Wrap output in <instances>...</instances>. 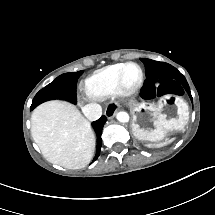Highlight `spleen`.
Wrapping results in <instances>:
<instances>
[{
    "mask_svg": "<svg viewBox=\"0 0 215 215\" xmlns=\"http://www.w3.org/2000/svg\"><path fill=\"white\" fill-rule=\"evenodd\" d=\"M172 141H173V139H170V140H169V142H172ZM164 145H165V143H160V144H157L156 146H157V147H162V146H164ZM147 146H148V147H152L153 145H152V144H148Z\"/></svg>",
    "mask_w": 215,
    "mask_h": 215,
    "instance_id": "3e777b00",
    "label": "spleen"
}]
</instances>
